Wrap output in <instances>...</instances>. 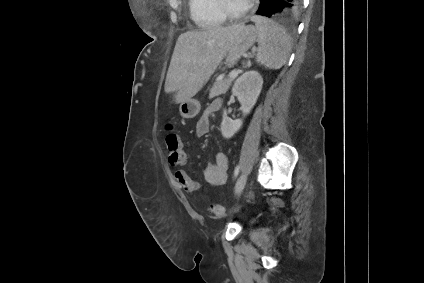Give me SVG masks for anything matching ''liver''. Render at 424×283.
I'll return each instance as SVG.
<instances>
[{
	"mask_svg": "<svg viewBox=\"0 0 424 283\" xmlns=\"http://www.w3.org/2000/svg\"><path fill=\"white\" fill-rule=\"evenodd\" d=\"M244 23L187 31L176 42L165 81V92L181 103L196 95L226 56Z\"/></svg>",
	"mask_w": 424,
	"mask_h": 283,
	"instance_id": "1",
	"label": "liver"
}]
</instances>
